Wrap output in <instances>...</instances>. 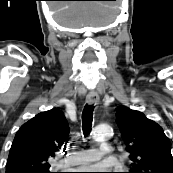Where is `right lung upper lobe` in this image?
<instances>
[{"label":"right lung upper lobe","instance_id":"right-lung-upper-lobe-1","mask_svg":"<svg viewBox=\"0 0 173 173\" xmlns=\"http://www.w3.org/2000/svg\"><path fill=\"white\" fill-rule=\"evenodd\" d=\"M68 135L69 128L62 111L53 108L37 114L16 133L6 173H32L50 168L48 159L54 157Z\"/></svg>","mask_w":173,"mask_h":173}]
</instances>
